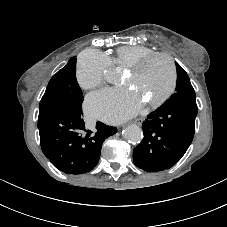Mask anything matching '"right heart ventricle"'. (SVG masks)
<instances>
[{"instance_id":"e07e8e85","label":"right heart ventricle","mask_w":227,"mask_h":227,"mask_svg":"<svg viewBox=\"0 0 227 227\" xmlns=\"http://www.w3.org/2000/svg\"><path fill=\"white\" fill-rule=\"evenodd\" d=\"M154 52L153 48L142 45H124L116 48L109 60L114 66L127 69L142 57Z\"/></svg>"}]
</instances>
